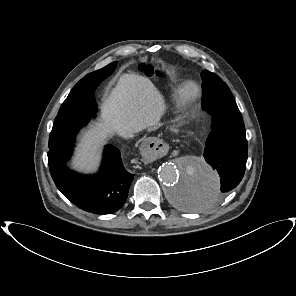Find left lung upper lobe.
I'll return each instance as SVG.
<instances>
[{
    "instance_id": "left-lung-upper-lobe-1",
    "label": "left lung upper lobe",
    "mask_w": 296,
    "mask_h": 296,
    "mask_svg": "<svg viewBox=\"0 0 296 296\" xmlns=\"http://www.w3.org/2000/svg\"><path fill=\"white\" fill-rule=\"evenodd\" d=\"M201 77L203 80V101H206L209 98L234 99L227 84L216 74L209 72L208 70H204L201 73Z\"/></svg>"
}]
</instances>
